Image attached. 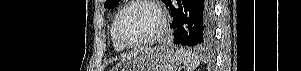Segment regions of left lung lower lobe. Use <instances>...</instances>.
Masks as SVG:
<instances>
[{"label": "left lung lower lobe", "mask_w": 301, "mask_h": 71, "mask_svg": "<svg viewBox=\"0 0 301 71\" xmlns=\"http://www.w3.org/2000/svg\"><path fill=\"white\" fill-rule=\"evenodd\" d=\"M175 8L171 0L166 4L171 11L174 43L204 48L214 39L213 7L210 0H177Z\"/></svg>", "instance_id": "obj_1"}]
</instances>
